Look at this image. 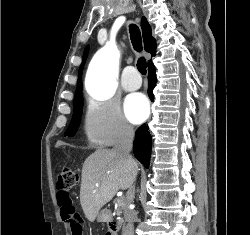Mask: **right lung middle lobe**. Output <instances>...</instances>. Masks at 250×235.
Segmentation results:
<instances>
[{
    "instance_id": "1",
    "label": "right lung middle lobe",
    "mask_w": 250,
    "mask_h": 235,
    "mask_svg": "<svg viewBox=\"0 0 250 235\" xmlns=\"http://www.w3.org/2000/svg\"><path fill=\"white\" fill-rule=\"evenodd\" d=\"M74 106V112H73V118L71 120L70 126L68 127L65 136L69 135L72 136L77 131V128L79 126V121L82 114V107H83V97L82 94H79L75 96L73 101Z\"/></svg>"
}]
</instances>
